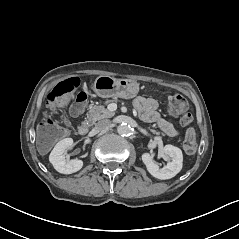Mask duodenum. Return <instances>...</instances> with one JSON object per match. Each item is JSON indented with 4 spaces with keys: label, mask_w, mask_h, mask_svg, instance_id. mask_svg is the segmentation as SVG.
Masks as SVG:
<instances>
[{
    "label": "duodenum",
    "mask_w": 239,
    "mask_h": 239,
    "mask_svg": "<svg viewBox=\"0 0 239 239\" xmlns=\"http://www.w3.org/2000/svg\"><path fill=\"white\" fill-rule=\"evenodd\" d=\"M88 131H89V126H88V124H82V125H80L79 128H78V133H79L80 135H86V134L88 133Z\"/></svg>",
    "instance_id": "obj_1"
}]
</instances>
